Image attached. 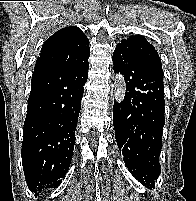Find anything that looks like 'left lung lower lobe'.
Here are the masks:
<instances>
[{"label":"left lung lower lobe","mask_w":196,"mask_h":201,"mask_svg":"<svg viewBox=\"0 0 196 201\" xmlns=\"http://www.w3.org/2000/svg\"><path fill=\"white\" fill-rule=\"evenodd\" d=\"M114 72L124 75L126 95L113 106L115 138L130 173L143 185L154 186L160 173L164 87L162 67L118 44Z\"/></svg>","instance_id":"1"}]
</instances>
